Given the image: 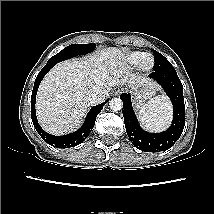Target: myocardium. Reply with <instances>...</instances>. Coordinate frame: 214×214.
I'll return each instance as SVG.
<instances>
[{"label": "myocardium", "instance_id": "myocardium-1", "mask_svg": "<svg viewBox=\"0 0 214 214\" xmlns=\"http://www.w3.org/2000/svg\"><path fill=\"white\" fill-rule=\"evenodd\" d=\"M154 65H155L154 58L149 54H145L139 63V69L142 72H149L154 68Z\"/></svg>", "mask_w": 214, "mask_h": 214}]
</instances>
